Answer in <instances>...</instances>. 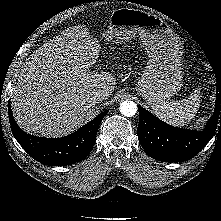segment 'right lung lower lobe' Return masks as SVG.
<instances>
[{"label": "right lung lower lobe", "mask_w": 221, "mask_h": 221, "mask_svg": "<svg viewBox=\"0 0 221 221\" xmlns=\"http://www.w3.org/2000/svg\"><path fill=\"white\" fill-rule=\"evenodd\" d=\"M108 111L102 112L76 132L61 138H42L25 133L17 125L8 103L11 130L21 147L36 161L52 166H66L85 158L91 151L99 125Z\"/></svg>", "instance_id": "1"}]
</instances>
